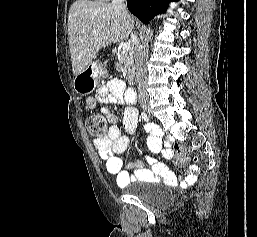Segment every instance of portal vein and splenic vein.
<instances>
[{"mask_svg": "<svg viewBox=\"0 0 257 237\" xmlns=\"http://www.w3.org/2000/svg\"><path fill=\"white\" fill-rule=\"evenodd\" d=\"M93 33H95V31H93ZM130 48H131L130 43H123V44H122V50H123V52H128V51H130Z\"/></svg>", "mask_w": 257, "mask_h": 237, "instance_id": "obj_1", "label": "portal vein and splenic vein"}]
</instances>
